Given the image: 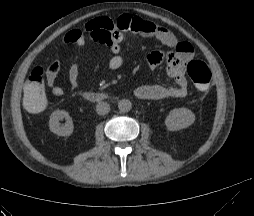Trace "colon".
I'll return each mask as SVG.
<instances>
[{"label": "colon", "instance_id": "1", "mask_svg": "<svg viewBox=\"0 0 254 216\" xmlns=\"http://www.w3.org/2000/svg\"><path fill=\"white\" fill-rule=\"evenodd\" d=\"M85 35L87 38L105 44L110 43L111 40L110 34L103 30H89ZM59 65V62L55 60L49 67L58 69ZM44 73L45 69L43 67H35L24 87V105L29 112L34 114L44 112L49 104L48 96L43 89ZM187 73L198 90L206 91L209 88L212 80V70L206 62L200 59H191L187 64Z\"/></svg>", "mask_w": 254, "mask_h": 216}]
</instances>
